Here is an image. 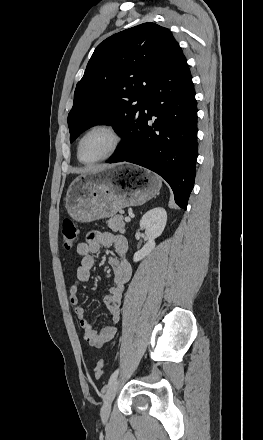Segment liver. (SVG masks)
<instances>
[{
  "label": "liver",
  "instance_id": "liver-1",
  "mask_svg": "<svg viewBox=\"0 0 263 440\" xmlns=\"http://www.w3.org/2000/svg\"><path fill=\"white\" fill-rule=\"evenodd\" d=\"M103 167H107V166H100V167H97L96 169H101V168H103Z\"/></svg>",
  "mask_w": 263,
  "mask_h": 440
}]
</instances>
